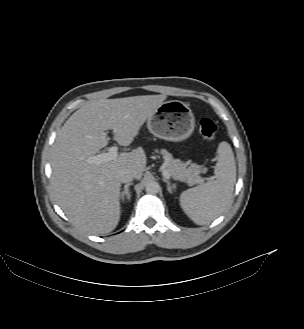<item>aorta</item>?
I'll list each match as a JSON object with an SVG mask.
<instances>
[{
	"label": "aorta",
	"instance_id": "762f6f07",
	"mask_svg": "<svg viewBox=\"0 0 304 329\" xmlns=\"http://www.w3.org/2000/svg\"><path fill=\"white\" fill-rule=\"evenodd\" d=\"M159 184L157 182L151 181L146 184V192L148 194H156L159 191Z\"/></svg>",
	"mask_w": 304,
	"mask_h": 329
}]
</instances>
